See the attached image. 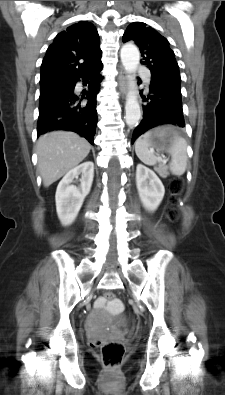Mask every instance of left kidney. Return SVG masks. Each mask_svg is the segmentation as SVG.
<instances>
[{
    "label": "left kidney",
    "mask_w": 225,
    "mask_h": 395,
    "mask_svg": "<svg viewBox=\"0 0 225 395\" xmlns=\"http://www.w3.org/2000/svg\"><path fill=\"white\" fill-rule=\"evenodd\" d=\"M136 185L143 206L149 211H155L165 194V188L159 177L151 169L138 164Z\"/></svg>",
    "instance_id": "5707ae66"
}]
</instances>
